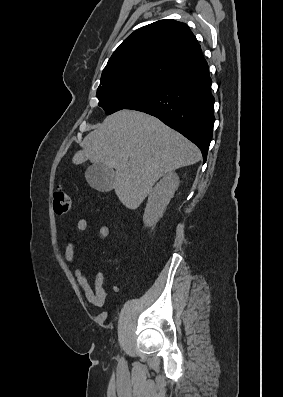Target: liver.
I'll list each match as a JSON object with an SVG mask.
<instances>
[{
  "mask_svg": "<svg viewBox=\"0 0 283 397\" xmlns=\"http://www.w3.org/2000/svg\"><path fill=\"white\" fill-rule=\"evenodd\" d=\"M89 160L115 169L113 188L135 210L165 174L201 160L199 148L159 119L123 109L106 117L83 141L73 164Z\"/></svg>",
  "mask_w": 283,
  "mask_h": 397,
  "instance_id": "obj_1",
  "label": "liver"
}]
</instances>
